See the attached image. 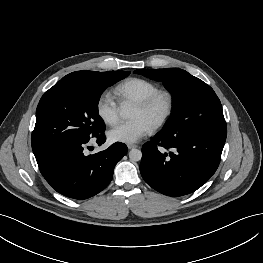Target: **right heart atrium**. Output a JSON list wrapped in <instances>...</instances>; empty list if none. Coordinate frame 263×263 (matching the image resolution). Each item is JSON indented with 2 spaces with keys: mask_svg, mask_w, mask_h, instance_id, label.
<instances>
[{
  "mask_svg": "<svg viewBox=\"0 0 263 263\" xmlns=\"http://www.w3.org/2000/svg\"><path fill=\"white\" fill-rule=\"evenodd\" d=\"M119 104L109 93H102L96 102V111L100 119L108 124L113 125L119 119Z\"/></svg>",
  "mask_w": 263,
  "mask_h": 263,
  "instance_id": "right-heart-atrium-1",
  "label": "right heart atrium"
}]
</instances>
